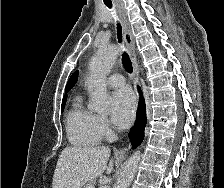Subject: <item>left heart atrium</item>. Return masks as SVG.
Segmentation results:
<instances>
[{
	"instance_id": "39dd6f15",
	"label": "left heart atrium",
	"mask_w": 224,
	"mask_h": 188,
	"mask_svg": "<svg viewBox=\"0 0 224 188\" xmlns=\"http://www.w3.org/2000/svg\"><path fill=\"white\" fill-rule=\"evenodd\" d=\"M135 113L134 96L130 89L122 88L113 92L111 96V117L120 127L129 126Z\"/></svg>"
}]
</instances>
